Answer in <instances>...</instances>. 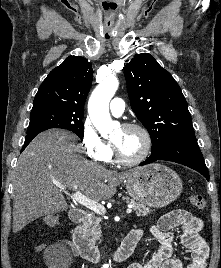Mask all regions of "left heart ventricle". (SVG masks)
I'll return each instance as SVG.
<instances>
[{
	"instance_id": "1",
	"label": "left heart ventricle",
	"mask_w": 221,
	"mask_h": 268,
	"mask_svg": "<svg viewBox=\"0 0 221 268\" xmlns=\"http://www.w3.org/2000/svg\"><path fill=\"white\" fill-rule=\"evenodd\" d=\"M120 153L127 159L138 157L143 151L145 140L138 130L120 128L112 138Z\"/></svg>"
}]
</instances>
